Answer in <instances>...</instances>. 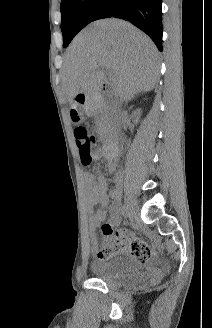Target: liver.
Listing matches in <instances>:
<instances>
[{
  "label": "liver",
  "mask_w": 212,
  "mask_h": 328,
  "mask_svg": "<svg viewBox=\"0 0 212 328\" xmlns=\"http://www.w3.org/2000/svg\"><path fill=\"white\" fill-rule=\"evenodd\" d=\"M112 73L110 84L121 100L150 91L159 77L158 52L151 39L119 19L98 20L83 29L67 49L63 67L66 96L92 95L103 86L102 71Z\"/></svg>",
  "instance_id": "liver-1"
}]
</instances>
